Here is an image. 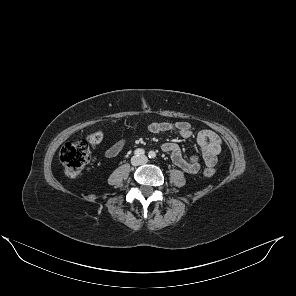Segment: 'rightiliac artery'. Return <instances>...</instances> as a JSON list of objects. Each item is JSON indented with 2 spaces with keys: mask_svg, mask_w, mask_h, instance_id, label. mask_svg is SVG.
<instances>
[{
  "mask_svg": "<svg viewBox=\"0 0 296 296\" xmlns=\"http://www.w3.org/2000/svg\"><path fill=\"white\" fill-rule=\"evenodd\" d=\"M134 154L136 155V156H141V155H144L145 154V151L143 150V149H136L135 150V152H134Z\"/></svg>",
  "mask_w": 296,
  "mask_h": 296,
  "instance_id": "right-iliac-artery-1",
  "label": "right iliac artery"
}]
</instances>
